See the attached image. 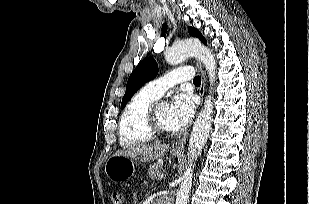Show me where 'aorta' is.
<instances>
[{
  "label": "aorta",
  "instance_id": "obj_1",
  "mask_svg": "<svg viewBox=\"0 0 309 204\" xmlns=\"http://www.w3.org/2000/svg\"><path fill=\"white\" fill-rule=\"evenodd\" d=\"M193 56L199 59L208 71L210 86L216 79V60L211 50L204 45L193 40H183L173 44L165 52V59L170 65H177L185 61L188 57ZM213 97L210 95L206 98L204 105L194 123L188 146V166L181 179L179 189L176 193L175 204H187L188 196L192 186L194 161L202 152L206 144L213 113Z\"/></svg>",
  "mask_w": 309,
  "mask_h": 204
}]
</instances>
